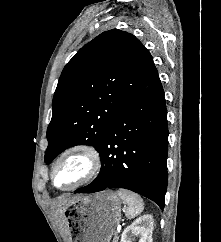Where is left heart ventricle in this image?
<instances>
[{
	"label": "left heart ventricle",
	"instance_id": "1",
	"mask_svg": "<svg viewBox=\"0 0 221 242\" xmlns=\"http://www.w3.org/2000/svg\"><path fill=\"white\" fill-rule=\"evenodd\" d=\"M88 170L86 157L79 153L66 156L58 165L55 172V184L67 187L82 178Z\"/></svg>",
	"mask_w": 221,
	"mask_h": 242
}]
</instances>
